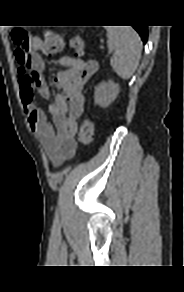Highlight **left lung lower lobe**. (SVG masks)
Listing matches in <instances>:
<instances>
[{
  "instance_id": "1",
  "label": "left lung lower lobe",
  "mask_w": 184,
  "mask_h": 292,
  "mask_svg": "<svg viewBox=\"0 0 184 292\" xmlns=\"http://www.w3.org/2000/svg\"><path fill=\"white\" fill-rule=\"evenodd\" d=\"M135 28V30L139 33V35L141 36L143 43L145 44L148 38V29L147 26H143V25H136L133 26Z\"/></svg>"
}]
</instances>
